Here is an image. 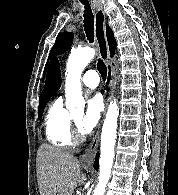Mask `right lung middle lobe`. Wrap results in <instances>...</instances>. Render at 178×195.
Segmentation results:
<instances>
[{"label": "right lung middle lobe", "mask_w": 178, "mask_h": 195, "mask_svg": "<svg viewBox=\"0 0 178 195\" xmlns=\"http://www.w3.org/2000/svg\"><path fill=\"white\" fill-rule=\"evenodd\" d=\"M45 106H46V104H43V105H40L38 107V118L39 119H42V115H43V111H44Z\"/></svg>", "instance_id": "dd1d6c3e"}]
</instances>
